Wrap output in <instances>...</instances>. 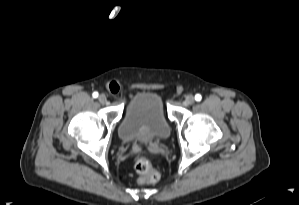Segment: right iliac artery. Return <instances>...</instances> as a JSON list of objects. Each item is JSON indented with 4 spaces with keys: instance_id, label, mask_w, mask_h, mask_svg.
I'll list each match as a JSON object with an SVG mask.
<instances>
[{
    "instance_id": "obj_1",
    "label": "right iliac artery",
    "mask_w": 299,
    "mask_h": 205,
    "mask_svg": "<svg viewBox=\"0 0 299 205\" xmlns=\"http://www.w3.org/2000/svg\"><path fill=\"white\" fill-rule=\"evenodd\" d=\"M92 96H93L94 98H97V97H98V92H94V93L92 94Z\"/></svg>"
}]
</instances>
